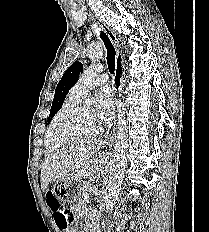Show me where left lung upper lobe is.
Listing matches in <instances>:
<instances>
[{
    "label": "left lung upper lobe",
    "mask_w": 209,
    "mask_h": 232,
    "mask_svg": "<svg viewBox=\"0 0 209 232\" xmlns=\"http://www.w3.org/2000/svg\"><path fill=\"white\" fill-rule=\"evenodd\" d=\"M82 70L83 64L80 62H75L65 71L56 87L48 121H50L56 112L62 107L67 93L77 82L79 74Z\"/></svg>",
    "instance_id": "5c2ea615"
}]
</instances>
